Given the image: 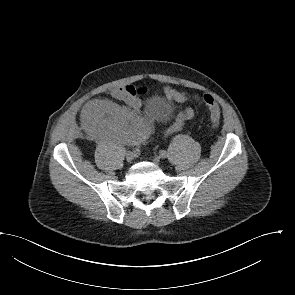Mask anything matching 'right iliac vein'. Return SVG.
Masks as SVG:
<instances>
[{
	"mask_svg": "<svg viewBox=\"0 0 295 295\" xmlns=\"http://www.w3.org/2000/svg\"><path fill=\"white\" fill-rule=\"evenodd\" d=\"M134 158H135V155L133 154V152L129 151L126 153V160L128 162H131Z\"/></svg>",
	"mask_w": 295,
	"mask_h": 295,
	"instance_id": "right-iliac-vein-1",
	"label": "right iliac vein"
}]
</instances>
